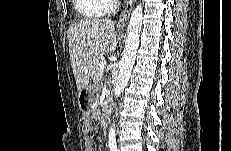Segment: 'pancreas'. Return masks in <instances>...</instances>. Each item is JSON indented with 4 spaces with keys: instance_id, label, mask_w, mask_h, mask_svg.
Wrapping results in <instances>:
<instances>
[{
    "instance_id": "obj_1",
    "label": "pancreas",
    "mask_w": 231,
    "mask_h": 151,
    "mask_svg": "<svg viewBox=\"0 0 231 151\" xmlns=\"http://www.w3.org/2000/svg\"><path fill=\"white\" fill-rule=\"evenodd\" d=\"M101 62H102V60H99L94 66V71L92 74V79H93L94 83H99L102 79L103 70L100 69V67H99Z\"/></svg>"
}]
</instances>
